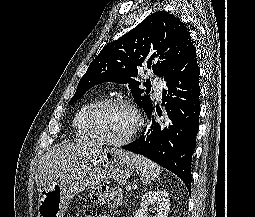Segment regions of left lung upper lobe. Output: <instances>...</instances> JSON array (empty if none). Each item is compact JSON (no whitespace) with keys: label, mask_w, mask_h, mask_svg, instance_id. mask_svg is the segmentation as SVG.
I'll return each mask as SVG.
<instances>
[{"label":"left lung upper lobe","mask_w":255,"mask_h":217,"mask_svg":"<svg viewBox=\"0 0 255 217\" xmlns=\"http://www.w3.org/2000/svg\"><path fill=\"white\" fill-rule=\"evenodd\" d=\"M192 46L190 33L177 17L165 11L155 12L101 50L80 79L69 103L103 82L128 83L136 104L147 114L152 109V102L148 95H142L144 90L133 79L138 69L147 67L157 76L164 77Z\"/></svg>","instance_id":"obj_1"}]
</instances>
